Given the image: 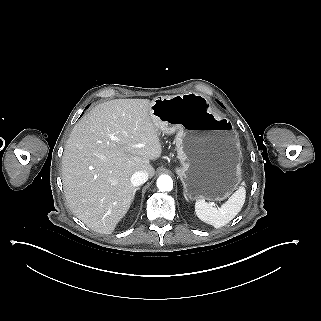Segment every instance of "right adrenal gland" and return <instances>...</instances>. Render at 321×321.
I'll return each mask as SVG.
<instances>
[{
	"mask_svg": "<svg viewBox=\"0 0 321 321\" xmlns=\"http://www.w3.org/2000/svg\"><path fill=\"white\" fill-rule=\"evenodd\" d=\"M138 190H140V187H137V188L134 189V191H133V193H132V200H131V201H133L134 196H135V193H136V191H138Z\"/></svg>",
	"mask_w": 321,
	"mask_h": 321,
	"instance_id": "1",
	"label": "right adrenal gland"
}]
</instances>
